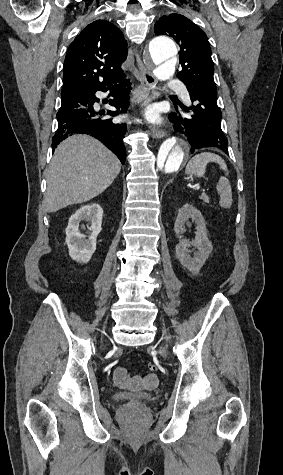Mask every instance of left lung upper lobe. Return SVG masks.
Returning a JSON list of instances; mask_svg holds the SVG:
<instances>
[{
  "label": "left lung upper lobe",
  "instance_id": "1",
  "mask_svg": "<svg viewBox=\"0 0 283 475\" xmlns=\"http://www.w3.org/2000/svg\"><path fill=\"white\" fill-rule=\"evenodd\" d=\"M156 35L173 37L180 45L179 62L182 70L177 74L186 86H202L216 90L213 78L214 65L206 34L183 15L170 14L155 23Z\"/></svg>",
  "mask_w": 283,
  "mask_h": 475
}]
</instances>
